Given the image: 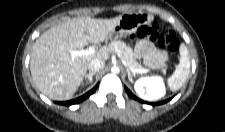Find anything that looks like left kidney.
Returning a JSON list of instances; mask_svg holds the SVG:
<instances>
[{
	"label": "left kidney",
	"mask_w": 225,
	"mask_h": 132,
	"mask_svg": "<svg viewBox=\"0 0 225 132\" xmlns=\"http://www.w3.org/2000/svg\"><path fill=\"white\" fill-rule=\"evenodd\" d=\"M134 89L140 98L153 101L163 97L166 88L160 76L142 77L134 84Z\"/></svg>",
	"instance_id": "obj_1"
}]
</instances>
